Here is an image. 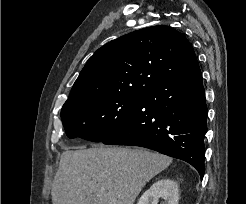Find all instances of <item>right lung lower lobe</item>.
<instances>
[{
  "mask_svg": "<svg viewBox=\"0 0 246 204\" xmlns=\"http://www.w3.org/2000/svg\"><path fill=\"white\" fill-rule=\"evenodd\" d=\"M207 106L196 61L143 92L124 123L101 142L156 150L191 164L203 178Z\"/></svg>",
  "mask_w": 246,
  "mask_h": 204,
  "instance_id": "obj_1",
  "label": "right lung lower lobe"
}]
</instances>
